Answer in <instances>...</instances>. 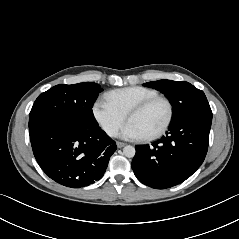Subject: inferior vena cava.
I'll list each match as a JSON object with an SVG mask.
<instances>
[{"instance_id": "1", "label": "inferior vena cava", "mask_w": 239, "mask_h": 239, "mask_svg": "<svg viewBox=\"0 0 239 239\" xmlns=\"http://www.w3.org/2000/svg\"><path fill=\"white\" fill-rule=\"evenodd\" d=\"M107 134L111 137H116L117 134H118V129L115 128V127H109L107 130H106Z\"/></svg>"}]
</instances>
